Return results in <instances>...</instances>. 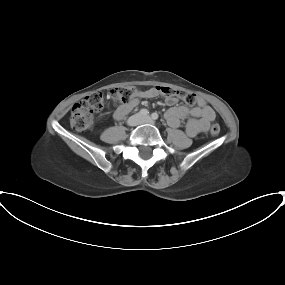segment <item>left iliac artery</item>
Returning a JSON list of instances; mask_svg holds the SVG:
<instances>
[{
  "mask_svg": "<svg viewBox=\"0 0 285 285\" xmlns=\"http://www.w3.org/2000/svg\"><path fill=\"white\" fill-rule=\"evenodd\" d=\"M151 117L152 119L157 120L159 116L157 113H152Z\"/></svg>",
  "mask_w": 285,
  "mask_h": 285,
  "instance_id": "44dca946",
  "label": "left iliac artery"
}]
</instances>
